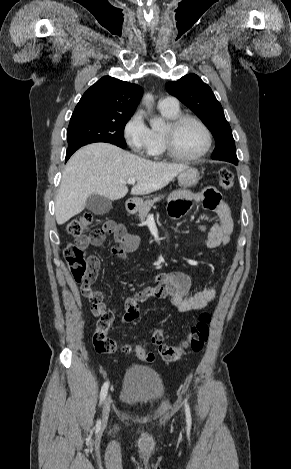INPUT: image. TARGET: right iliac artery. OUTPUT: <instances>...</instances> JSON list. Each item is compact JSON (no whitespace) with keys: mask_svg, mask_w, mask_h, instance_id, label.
Masks as SVG:
<instances>
[{"mask_svg":"<svg viewBox=\"0 0 291 469\" xmlns=\"http://www.w3.org/2000/svg\"><path fill=\"white\" fill-rule=\"evenodd\" d=\"M108 387H109V382H105L101 388V392H100V402L102 403L107 395V391H108Z\"/></svg>","mask_w":291,"mask_h":469,"instance_id":"1","label":"right iliac artery"}]
</instances>
